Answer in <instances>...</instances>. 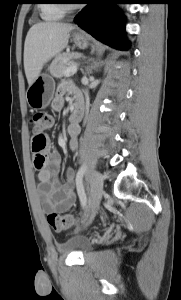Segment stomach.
Here are the masks:
<instances>
[{
    "instance_id": "obj_1",
    "label": "stomach",
    "mask_w": 181,
    "mask_h": 300,
    "mask_svg": "<svg viewBox=\"0 0 181 300\" xmlns=\"http://www.w3.org/2000/svg\"><path fill=\"white\" fill-rule=\"evenodd\" d=\"M74 44L85 49L89 45L88 37L82 33L72 35ZM55 83L51 76L47 74L39 75L27 90L28 105L34 110L46 108L54 95Z\"/></svg>"
}]
</instances>
